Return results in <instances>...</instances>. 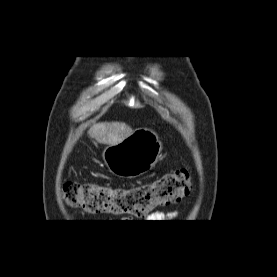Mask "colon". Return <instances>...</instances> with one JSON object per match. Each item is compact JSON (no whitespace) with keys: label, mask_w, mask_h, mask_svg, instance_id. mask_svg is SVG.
<instances>
[{"label":"colon","mask_w":277,"mask_h":277,"mask_svg":"<svg viewBox=\"0 0 277 277\" xmlns=\"http://www.w3.org/2000/svg\"><path fill=\"white\" fill-rule=\"evenodd\" d=\"M192 188L190 173L179 169L134 187H110L100 184L66 182L63 197L72 207L87 212L144 216L158 206L175 203Z\"/></svg>","instance_id":"colon-1"}]
</instances>
